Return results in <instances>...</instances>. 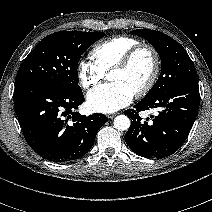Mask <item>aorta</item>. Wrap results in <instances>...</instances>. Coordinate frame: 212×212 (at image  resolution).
I'll list each match as a JSON object with an SVG mask.
<instances>
[{"label": "aorta", "mask_w": 212, "mask_h": 212, "mask_svg": "<svg viewBox=\"0 0 212 212\" xmlns=\"http://www.w3.org/2000/svg\"><path fill=\"white\" fill-rule=\"evenodd\" d=\"M130 124V119L126 115H119L114 119V127L119 131L128 130Z\"/></svg>", "instance_id": "1"}]
</instances>
